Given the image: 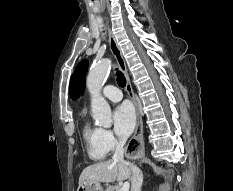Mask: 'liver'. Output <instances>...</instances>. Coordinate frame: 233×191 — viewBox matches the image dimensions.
Wrapping results in <instances>:
<instances>
[{
  "label": "liver",
  "mask_w": 233,
  "mask_h": 191,
  "mask_svg": "<svg viewBox=\"0 0 233 191\" xmlns=\"http://www.w3.org/2000/svg\"><path fill=\"white\" fill-rule=\"evenodd\" d=\"M131 168L122 163L108 160L86 167L80 177L79 185L93 182L113 183L123 181L131 176Z\"/></svg>",
  "instance_id": "liver-1"
}]
</instances>
